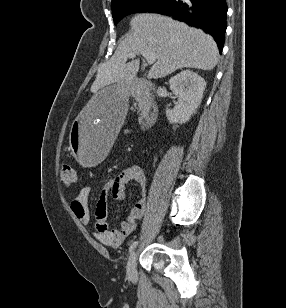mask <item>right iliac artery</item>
<instances>
[{
  "instance_id": "right-iliac-artery-1",
  "label": "right iliac artery",
  "mask_w": 286,
  "mask_h": 308,
  "mask_svg": "<svg viewBox=\"0 0 286 308\" xmlns=\"http://www.w3.org/2000/svg\"><path fill=\"white\" fill-rule=\"evenodd\" d=\"M137 244H138V241L132 242L129 247V252H132L136 248Z\"/></svg>"
}]
</instances>
